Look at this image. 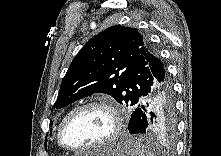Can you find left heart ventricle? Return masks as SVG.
Masks as SVG:
<instances>
[{"label": "left heart ventricle", "mask_w": 221, "mask_h": 156, "mask_svg": "<svg viewBox=\"0 0 221 156\" xmlns=\"http://www.w3.org/2000/svg\"><path fill=\"white\" fill-rule=\"evenodd\" d=\"M112 129L111 115L102 108L77 113L65 129V141L73 147H85L103 140Z\"/></svg>", "instance_id": "1"}]
</instances>
